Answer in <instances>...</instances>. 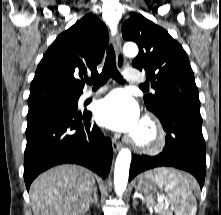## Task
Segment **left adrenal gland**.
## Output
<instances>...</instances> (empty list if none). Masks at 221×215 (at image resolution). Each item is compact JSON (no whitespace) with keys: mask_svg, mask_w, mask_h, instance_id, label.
I'll return each instance as SVG.
<instances>
[{"mask_svg":"<svg viewBox=\"0 0 221 215\" xmlns=\"http://www.w3.org/2000/svg\"><path fill=\"white\" fill-rule=\"evenodd\" d=\"M136 204H138V202H137L136 199L133 197V207H135Z\"/></svg>","mask_w":221,"mask_h":215,"instance_id":"a2214340","label":"left adrenal gland"}]
</instances>
